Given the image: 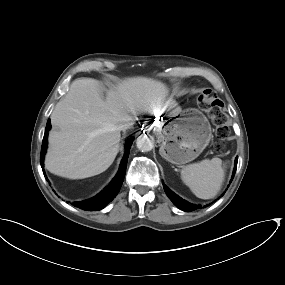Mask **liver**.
I'll use <instances>...</instances> for the list:
<instances>
[{
  "label": "liver",
  "mask_w": 285,
  "mask_h": 285,
  "mask_svg": "<svg viewBox=\"0 0 285 285\" xmlns=\"http://www.w3.org/2000/svg\"><path fill=\"white\" fill-rule=\"evenodd\" d=\"M160 81L146 77L123 80L115 90L100 95L95 79L72 82L55 106L49 134L46 169L69 179H84L107 170L119 151V127L138 113L162 114L176 107ZM181 112L176 107L170 113Z\"/></svg>",
  "instance_id": "liver-1"
}]
</instances>
